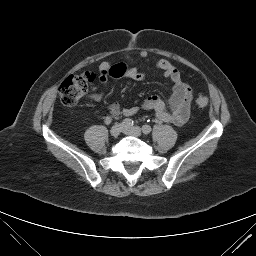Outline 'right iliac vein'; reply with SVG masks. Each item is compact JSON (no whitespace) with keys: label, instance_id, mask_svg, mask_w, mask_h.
<instances>
[{"label":"right iliac vein","instance_id":"right-iliac-vein-1","mask_svg":"<svg viewBox=\"0 0 256 256\" xmlns=\"http://www.w3.org/2000/svg\"><path fill=\"white\" fill-rule=\"evenodd\" d=\"M124 126L122 124H115L111 130H110V134L113 137H117L120 135V133L123 131Z\"/></svg>","mask_w":256,"mask_h":256}]
</instances>
